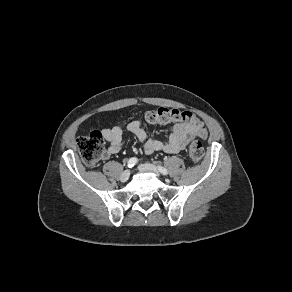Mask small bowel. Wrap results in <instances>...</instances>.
<instances>
[{"instance_id":"small-bowel-1","label":"small bowel","mask_w":292,"mask_h":292,"mask_svg":"<svg viewBox=\"0 0 292 292\" xmlns=\"http://www.w3.org/2000/svg\"><path fill=\"white\" fill-rule=\"evenodd\" d=\"M170 125V134L166 140L149 138L143 128L141 120H133L127 125V130L131 132L140 142L143 143L146 154L151 155L157 151L166 153H177L184 149L195 137L205 139L207 130L203 122L191 112L184 111L183 116ZM170 122L160 124H168ZM102 135L108 142L105 158L117 154L123 147V130L121 126L115 125L102 130Z\"/></svg>"}]
</instances>
